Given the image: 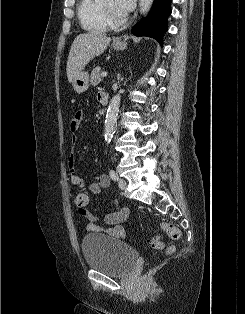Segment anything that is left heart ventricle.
Returning a JSON list of instances; mask_svg holds the SVG:
<instances>
[{
  "instance_id": "left-heart-ventricle-1",
  "label": "left heart ventricle",
  "mask_w": 245,
  "mask_h": 314,
  "mask_svg": "<svg viewBox=\"0 0 245 314\" xmlns=\"http://www.w3.org/2000/svg\"><path fill=\"white\" fill-rule=\"evenodd\" d=\"M101 3H102V5H103V7H104L107 11H109V12H111V13H114V14H116V15H118V16H123V14L120 13V12L116 9L115 0H102Z\"/></svg>"
}]
</instances>
